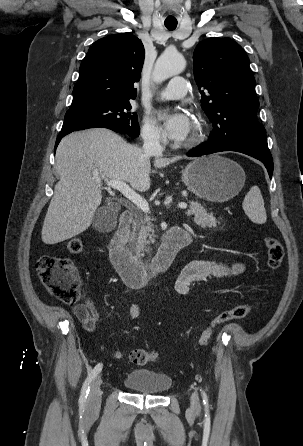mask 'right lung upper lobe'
Listing matches in <instances>:
<instances>
[{
    "label": "right lung upper lobe",
    "instance_id": "right-lung-upper-lobe-1",
    "mask_svg": "<svg viewBox=\"0 0 303 446\" xmlns=\"http://www.w3.org/2000/svg\"><path fill=\"white\" fill-rule=\"evenodd\" d=\"M144 55L142 42L132 33L96 41L80 65L70 109L134 99Z\"/></svg>",
    "mask_w": 303,
    "mask_h": 446
}]
</instances>
